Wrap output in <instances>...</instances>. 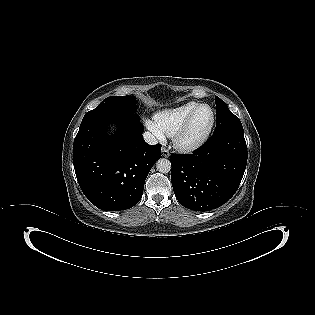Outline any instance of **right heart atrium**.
Wrapping results in <instances>:
<instances>
[{
  "mask_svg": "<svg viewBox=\"0 0 315 315\" xmlns=\"http://www.w3.org/2000/svg\"><path fill=\"white\" fill-rule=\"evenodd\" d=\"M146 127L152 132V134L160 141L165 140V134L159 128L155 120H146Z\"/></svg>",
  "mask_w": 315,
  "mask_h": 315,
  "instance_id": "d8ad5b80",
  "label": "right heart atrium"
}]
</instances>
